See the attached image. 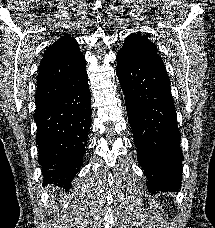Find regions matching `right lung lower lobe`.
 Instances as JSON below:
<instances>
[{"mask_svg": "<svg viewBox=\"0 0 215 228\" xmlns=\"http://www.w3.org/2000/svg\"><path fill=\"white\" fill-rule=\"evenodd\" d=\"M34 120L43 184L70 189L83 163L91 124L87 74L81 80L68 83L62 95L36 108Z\"/></svg>", "mask_w": 215, "mask_h": 228, "instance_id": "1", "label": "right lung lower lobe"}]
</instances>
